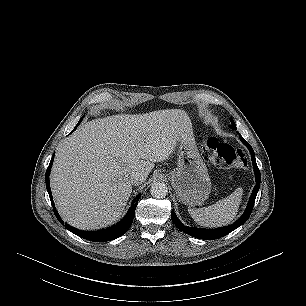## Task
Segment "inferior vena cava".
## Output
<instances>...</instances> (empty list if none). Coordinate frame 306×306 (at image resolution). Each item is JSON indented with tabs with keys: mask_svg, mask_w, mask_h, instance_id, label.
<instances>
[{
	"mask_svg": "<svg viewBox=\"0 0 306 306\" xmlns=\"http://www.w3.org/2000/svg\"><path fill=\"white\" fill-rule=\"evenodd\" d=\"M146 180L145 175L142 172H132L129 177V181L132 185H140Z\"/></svg>",
	"mask_w": 306,
	"mask_h": 306,
	"instance_id": "1",
	"label": "inferior vena cava"
}]
</instances>
